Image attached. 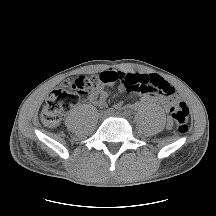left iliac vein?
<instances>
[{
    "label": "left iliac vein",
    "instance_id": "1",
    "mask_svg": "<svg viewBox=\"0 0 216 216\" xmlns=\"http://www.w3.org/2000/svg\"><path fill=\"white\" fill-rule=\"evenodd\" d=\"M113 116H117V117H123V114H121V113H116L115 115H113Z\"/></svg>",
    "mask_w": 216,
    "mask_h": 216
}]
</instances>
